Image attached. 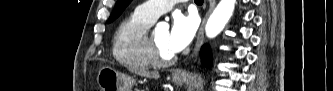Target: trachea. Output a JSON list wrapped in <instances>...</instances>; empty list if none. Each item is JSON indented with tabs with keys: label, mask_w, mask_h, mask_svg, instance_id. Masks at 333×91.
<instances>
[{
	"label": "trachea",
	"mask_w": 333,
	"mask_h": 91,
	"mask_svg": "<svg viewBox=\"0 0 333 91\" xmlns=\"http://www.w3.org/2000/svg\"><path fill=\"white\" fill-rule=\"evenodd\" d=\"M196 3H203V0H195Z\"/></svg>",
	"instance_id": "trachea-1"
}]
</instances>
